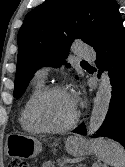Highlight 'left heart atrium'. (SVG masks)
Listing matches in <instances>:
<instances>
[{"mask_svg":"<svg viewBox=\"0 0 125 167\" xmlns=\"http://www.w3.org/2000/svg\"><path fill=\"white\" fill-rule=\"evenodd\" d=\"M71 99H72V102L74 103V105L76 104V98L74 95H70Z\"/></svg>","mask_w":125,"mask_h":167,"instance_id":"left-heart-atrium-1","label":"left heart atrium"}]
</instances>
